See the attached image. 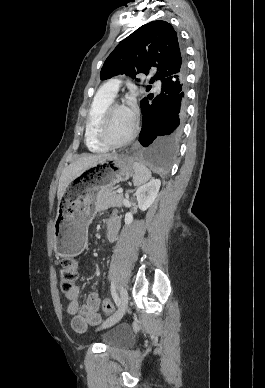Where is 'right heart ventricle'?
I'll return each mask as SVG.
<instances>
[{
	"label": "right heart ventricle",
	"mask_w": 265,
	"mask_h": 388,
	"mask_svg": "<svg viewBox=\"0 0 265 388\" xmlns=\"http://www.w3.org/2000/svg\"><path fill=\"white\" fill-rule=\"evenodd\" d=\"M116 96V91H97V97L90 107L86 123L85 138L87 146L92 151L101 152L107 150V147L97 140L95 130L100 113L107 105L114 102Z\"/></svg>",
	"instance_id": "right-heart-ventricle-1"
}]
</instances>
